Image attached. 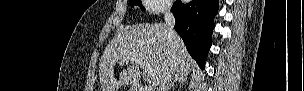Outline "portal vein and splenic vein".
<instances>
[{
    "mask_svg": "<svg viewBox=\"0 0 304 91\" xmlns=\"http://www.w3.org/2000/svg\"><path fill=\"white\" fill-rule=\"evenodd\" d=\"M135 61L136 64H138L141 68H143L147 74V77L151 78L152 77V74L151 72L149 71V67L147 65V63L142 60V59H138V58H132V57H125L123 58V61L124 62H127V61Z\"/></svg>",
    "mask_w": 304,
    "mask_h": 91,
    "instance_id": "portal-vein-and-splenic-vein-1",
    "label": "portal vein and splenic vein"
}]
</instances>
